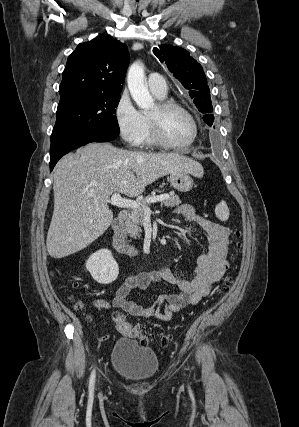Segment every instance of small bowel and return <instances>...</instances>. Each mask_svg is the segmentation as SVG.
Wrapping results in <instances>:
<instances>
[{"mask_svg": "<svg viewBox=\"0 0 299 427\" xmlns=\"http://www.w3.org/2000/svg\"><path fill=\"white\" fill-rule=\"evenodd\" d=\"M173 214L186 222L197 224L206 235L208 250L198 256L194 276L191 279L177 277L166 266L130 275L117 289L112 305L106 300H99L98 307L109 310L113 306L134 317L169 321L182 308L198 304L210 293L213 284L223 277L228 268L230 229L202 218L188 204L176 207ZM158 282L172 284L178 288V292L160 294L151 306H142L128 299L132 290H145Z\"/></svg>", "mask_w": 299, "mask_h": 427, "instance_id": "small-bowel-1", "label": "small bowel"}]
</instances>
